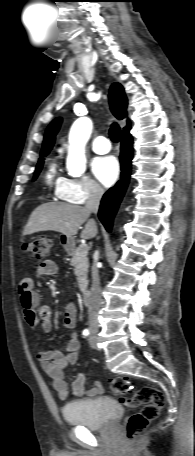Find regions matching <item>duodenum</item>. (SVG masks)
<instances>
[{
  "instance_id": "duodenum-1",
  "label": "duodenum",
  "mask_w": 195,
  "mask_h": 456,
  "mask_svg": "<svg viewBox=\"0 0 195 456\" xmlns=\"http://www.w3.org/2000/svg\"><path fill=\"white\" fill-rule=\"evenodd\" d=\"M68 245L70 246L69 243H68ZM90 296H91V294H90L89 290L85 289V290L82 291V301H83L84 304L87 305V304L90 303Z\"/></svg>"
}]
</instances>
